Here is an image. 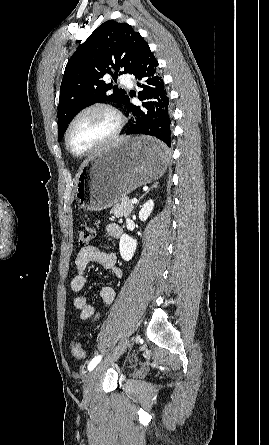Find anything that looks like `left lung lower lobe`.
I'll use <instances>...</instances> for the list:
<instances>
[{"label":"left lung lower lobe","instance_id":"left-lung-lower-lobe-1","mask_svg":"<svg viewBox=\"0 0 269 445\" xmlns=\"http://www.w3.org/2000/svg\"><path fill=\"white\" fill-rule=\"evenodd\" d=\"M157 67L156 58L150 48H147L130 73L135 76L137 86L142 89L138 93V98L143 101L142 105L136 106L130 103L128 95L124 103L134 116L126 134L152 136L155 142L145 146V152L152 156L168 154L172 134L170 101Z\"/></svg>","mask_w":269,"mask_h":445}]
</instances>
